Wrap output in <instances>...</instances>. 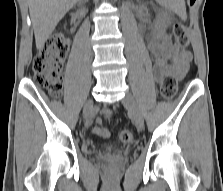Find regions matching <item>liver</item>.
Wrapping results in <instances>:
<instances>
[{
    "instance_id": "obj_1",
    "label": "liver",
    "mask_w": 223,
    "mask_h": 191,
    "mask_svg": "<svg viewBox=\"0 0 223 191\" xmlns=\"http://www.w3.org/2000/svg\"><path fill=\"white\" fill-rule=\"evenodd\" d=\"M80 0H28L36 47L40 51L58 22Z\"/></svg>"
}]
</instances>
